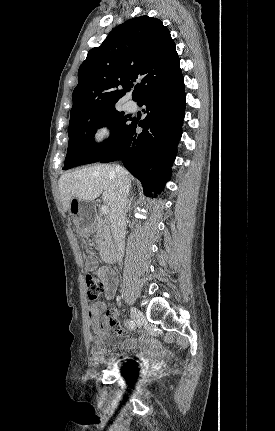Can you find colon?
Listing matches in <instances>:
<instances>
[{
    "instance_id": "obj_1",
    "label": "colon",
    "mask_w": 275,
    "mask_h": 431,
    "mask_svg": "<svg viewBox=\"0 0 275 431\" xmlns=\"http://www.w3.org/2000/svg\"><path fill=\"white\" fill-rule=\"evenodd\" d=\"M87 295L90 300H96L104 291L103 281L95 274L86 275Z\"/></svg>"
}]
</instances>
